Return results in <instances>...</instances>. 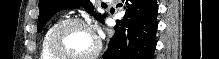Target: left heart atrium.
<instances>
[{
  "label": "left heart atrium",
  "instance_id": "obj_1",
  "mask_svg": "<svg viewBox=\"0 0 219 59\" xmlns=\"http://www.w3.org/2000/svg\"><path fill=\"white\" fill-rule=\"evenodd\" d=\"M90 30V29H89ZM91 31V33L95 36V33H94V31H92V30H90Z\"/></svg>",
  "mask_w": 219,
  "mask_h": 59
}]
</instances>
